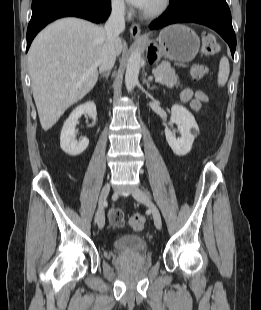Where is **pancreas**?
Instances as JSON below:
<instances>
[{
	"instance_id": "1",
	"label": "pancreas",
	"mask_w": 261,
	"mask_h": 310,
	"mask_svg": "<svg viewBox=\"0 0 261 310\" xmlns=\"http://www.w3.org/2000/svg\"><path fill=\"white\" fill-rule=\"evenodd\" d=\"M155 77H161L160 83L171 88L174 85H178L177 75L175 70L171 68L168 63H161L155 69H153Z\"/></svg>"
}]
</instances>
